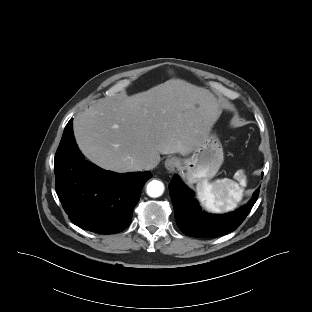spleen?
I'll list each match as a JSON object with an SVG mask.
<instances>
[{"mask_svg":"<svg viewBox=\"0 0 312 312\" xmlns=\"http://www.w3.org/2000/svg\"><path fill=\"white\" fill-rule=\"evenodd\" d=\"M234 178L218 179L213 183L207 180L197 184V197L201 204L209 211L216 213L228 212L236 208L242 200L246 179L243 170H238Z\"/></svg>","mask_w":312,"mask_h":312,"instance_id":"obj_1","label":"spleen"}]
</instances>
